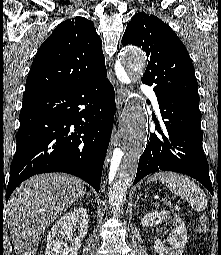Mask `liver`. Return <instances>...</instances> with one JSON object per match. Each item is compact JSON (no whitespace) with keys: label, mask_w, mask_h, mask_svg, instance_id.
Segmentation results:
<instances>
[{"label":"liver","mask_w":221,"mask_h":255,"mask_svg":"<svg viewBox=\"0 0 221 255\" xmlns=\"http://www.w3.org/2000/svg\"><path fill=\"white\" fill-rule=\"evenodd\" d=\"M84 190L81 179L63 173L36 175L23 182L6 205L16 255H36L42 232Z\"/></svg>","instance_id":"obj_1"}]
</instances>
